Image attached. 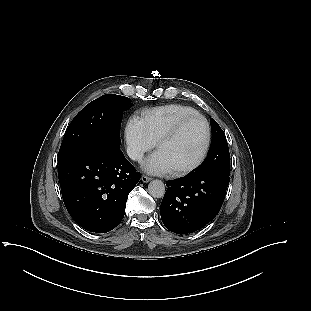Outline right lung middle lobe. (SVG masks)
Returning a JSON list of instances; mask_svg holds the SVG:
<instances>
[{"mask_svg":"<svg viewBox=\"0 0 311 311\" xmlns=\"http://www.w3.org/2000/svg\"><path fill=\"white\" fill-rule=\"evenodd\" d=\"M131 106L129 98L115 94H106L90 102L66 130L58 163L90 148L120 149L122 116Z\"/></svg>","mask_w":311,"mask_h":311,"instance_id":"1","label":"right lung middle lobe"}]
</instances>
